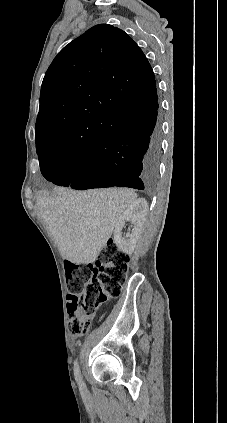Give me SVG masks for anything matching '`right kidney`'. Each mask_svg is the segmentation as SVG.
<instances>
[{
	"instance_id": "obj_1",
	"label": "right kidney",
	"mask_w": 227,
	"mask_h": 423,
	"mask_svg": "<svg viewBox=\"0 0 227 423\" xmlns=\"http://www.w3.org/2000/svg\"><path fill=\"white\" fill-rule=\"evenodd\" d=\"M148 210V202L144 198H137L123 211L122 215H119L114 229V243L123 253H129V255L133 253ZM126 221L133 223V229L129 227L128 233L122 235Z\"/></svg>"
}]
</instances>
